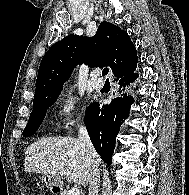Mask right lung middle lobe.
<instances>
[{
    "mask_svg": "<svg viewBox=\"0 0 189 195\" xmlns=\"http://www.w3.org/2000/svg\"><path fill=\"white\" fill-rule=\"evenodd\" d=\"M59 95L60 93H57L44 100L33 103V111L31 112L29 122L23 131L24 137L35 134L46 115L47 109L56 102Z\"/></svg>",
    "mask_w": 189,
    "mask_h": 195,
    "instance_id": "1",
    "label": "right lung middle lobe"
}]
</instances>
